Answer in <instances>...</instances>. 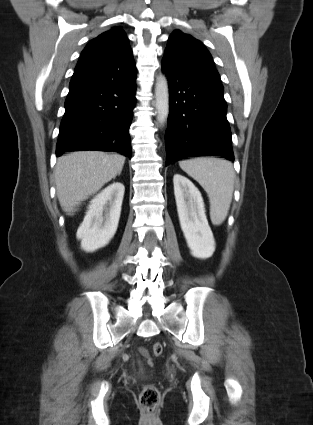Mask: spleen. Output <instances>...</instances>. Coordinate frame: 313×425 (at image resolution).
<instances>
[{
    "instance_id": "spleen-1",
    "label": "spleen",
    "mask_w": 313,
    "mask_h": 425,
    "mask_svg": "<svg viewBox=\"0 0 313 425\" xmlns=\"http://www.w3.org/2000/svg\"><path fill=\"white\" fill-rule=\"evenodd\" d=\"M179 166L207 192L212 223L222 224L228 214L234 191L235 172L232 163L219 158L200 157L180 161Z\"/></svg>"
}]
</instances>
